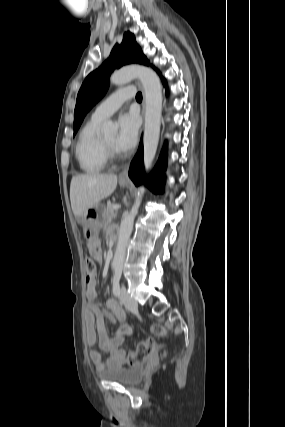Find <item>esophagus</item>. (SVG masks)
Returning a JSON list of instances; mask_svg holds the SVG:
<instances>
[{"mask_svg":"<svg viewBox=\"0 0 285 427\" xmlns=\"http://www.w3.org/2000/svg\"><path fill=\"white\" fill-rule=\"evenodd\" d=\"M136 85L140 88V90L142 91V94H143L142 116H144V108H145V94H144V90H143V87H142V85L140 84L139 81L136 82ZM127 170H128V165L119 174V179L120 180H122V181H128L129 180V177H128V174H127Z\"/></svg>","mask_w":285,"mask_h":427,"instance_id":"esophagus-1","label":"esophagus"}]
</instances>
